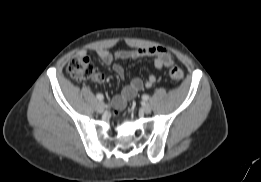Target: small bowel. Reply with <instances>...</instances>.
<instances>
[{"label":"small bowel","instance_id":"obj_1","mask_svg":"<svg viewBox=\"0 0 261 182\" xmlns=\"http://www.w3.org/2000/svg\"><path fill=\"white\" fill-rule=\"evenodd\" d=\"M96 54L103 64L112 66V69L119 80H124L126 77L125 70L119 63L121 60H136L150 57L153 58L154 66L158 70L170 67L174 63L172 54L167 49L159 46L137 48L135 50H119L113 53L106 49L99 48L96 50ZM78 55L85 57L86 52L80 51L78 52ZM94 81L98 84H103L105 76L101 73H97L94 76ZM155 82L156 77L152 74L149 75L145 81L139 77L132 78L129 84L122 89L121 93L112 99V104L116 111L122 110L127 100L135 97L144 86L151 87Z\"/></svg>","mask_w":261,"mask_h":182}]
</instances>
